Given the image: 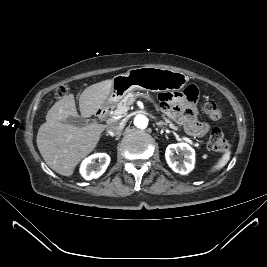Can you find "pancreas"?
<instances>
[{"label":"pancreas","instance_id":"obj_1","mask_svg":"<svg viewBox=\"0 0 267 267\" xmlns=\"http://www.w3.org/2000/svg\"><path fill=\"white\" fill-rule=\"evenodd\" d=\"M135 97H136V94L131 92V93H128L127 95H125L123 97V99H121L120 101L115 103L112 106V109H113L112 116L119 117V116L124 115L128 111L129 105L133 102ZM109 120L114 121L115 119L111 118ZM165 122H166V124L169 125V127L171 129H173L175 131L179 130V128L175 124H173L169 119L165 118Z\"/></svg>","mask_w":267,"mask_h":267}]
</instances>
